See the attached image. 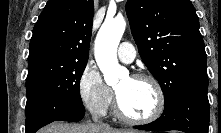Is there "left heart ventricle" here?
<instances>
[{
    "mask_svg": "<svg viewBox=\"0 0 221 133\" xmlns=\"http://www.w3.org/2000/svg\"><path fill=\"white\" fill-rule=\"evenodd\" d=\"M115 90L125 114L143 118L154 111L156 93L150 82L126 77L119 82Z\"/></svg>",
    "mask_w": 221,
    "mask_h": 133,
    "instance_id": "left-heart-ventricle-1",
    "label": "left heart ventricle"
}]
</instances>
